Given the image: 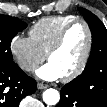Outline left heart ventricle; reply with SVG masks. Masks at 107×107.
Returning a JSON list of instances; mask_svg holds the SVG:
<instances>
[{"mask_svg":"<svg viewBox=\"0 0 107 107\" xmlns=\"http://www.w3.org/2000/svg\"><path fill=\"white\" fill-rule=\"evenodd\" d=\"M87 33L84 26L77 24L70 29L62 47L49 59L61 73L68 75L79 65L86 48Z\"/></svg>","mask_w":107,"mask_h":107,"instance_id":"obj_1","label":"left heart ventricle"}]
</instances>
